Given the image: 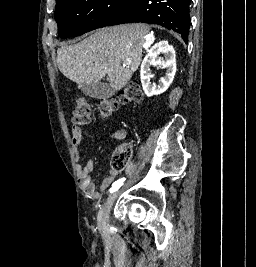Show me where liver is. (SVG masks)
Returning <instances> with one entry per match:
<instances>
[{
	"label": "liver",
	"instance_id": "obj_1",
	"mask_svg": "<svg viewBox=\"0 0 256 267\" xmlns=\"http://www.w3.org/2000/svg\"><path fill=\"white\" fill-rule=\"evenodd\" d=\"M147 32L145 24L96 30L79 44L58 48L57 66L63 76L77 84H97L107 78L111 88L121 90L141 64Z\"/></svg>",
	"mask_w": 256,
	"mask_h": 267
}]
</instances>
